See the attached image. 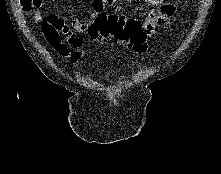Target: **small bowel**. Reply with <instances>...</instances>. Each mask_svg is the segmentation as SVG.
I'll return each instance as SVG.
<instances>
[{
	"mask_svg": "<svg viewBox=\"0 0 221 174\" xmlns=\"http://www.w3.org/2000/svg\"><path fill=\"white\" fill-rule=\"evenodd\" d=\"M144 1L147 5L155 7L149 11L143 23L147 36L153 35L157 28L169 26L175 21L176 7L173 3L166 0ZM40 6L34 11V21L41 25L46 40L59 54L69 56L72 61H76L82 55V51L79 49L82 45V39L64 24L63 19L57 16H44ZM106 7L114 8L117 11L121 9L118 0H93L91 18L88 21L74 19L71 23L72 29L77 33L88 32L95 18L105 14ZM60 34L64 35L69 45L77 48L75 52L69 53L67 44L60 41Z\"/></svg>",
	"mask_w": 221,
	"mask_h": 174,
	"instance_id": "small-bowel-1",
	"label": "small bowel"
}]
</instances>
